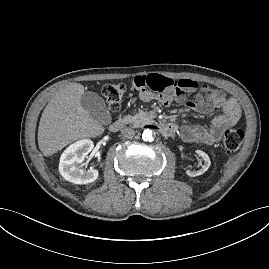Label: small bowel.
<instances>
[{"instance_id": "c3829d8e", "label": "small bowel", "mask_w": 269, "mask_h": 269, "mask_svg": "<svg viewBox=\"0 0 269 269\" xmlns=\"http://www.w3.org/2000/svg\"><path fill=\"white\" fill-rule=\"evenodd\" d=\"M133 86L139 91L143 101L156 98L165 105H172L176 100L178 103H184L188 109L204 115L215 109L222 110V113L212 120L210 127L200 124L183 126L181 138L185 142L213 145L241 116L240 107L234 99L226 97L220 90L200 85L192 79L176 80L165 75L137 76L133 80ZM195 91H198L196 100L187 101V93Z\"/></svg>"}]
</instances>
